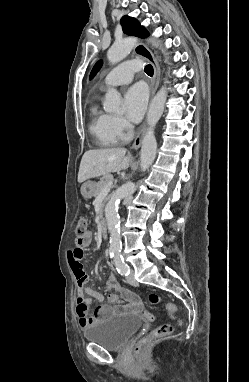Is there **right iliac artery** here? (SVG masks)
<instances>
[{
    "label": "right iliac artery",
    "instance_id": "1",
    "mask_svg": "<svg viewBox=\"0 0 249 382\" xmlns=\"http://www.w3.org/2000/svg\"><path fill=\"white\" fill-rule=\"evenodd\" d=\"M109 254H110V257H113V256L115 255V251H114V250H111V251L109 252Z\"/></svg>",
    "mask_w": 249,
    "mask_h": 382
}]
</instances>
